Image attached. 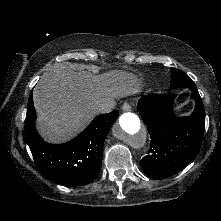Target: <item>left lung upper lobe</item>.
I'll return each mask as SVG.
<instances>
[{
    "label": "left lung upper lobe",
    "mask_w": 221,
    "mask_h": 221,
    "mask_svg": "<svg viewBox=\"0 0 221 221\" xmlns=\"http://www.w3.org/2000/svg\"><path fill=\"white\" fill-rule=\"evenodd\" d=\"M170 70L172 74L171 83H170L171 89H175L179 87L189 88L191 85L195 84L191 80V78L180 69L170 68Z\"/></svg>",
    "instance_id": "5c2ea615"
}]
</instances>
